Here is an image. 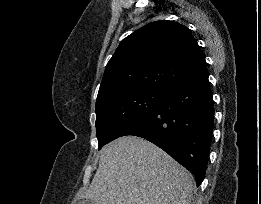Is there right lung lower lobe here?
Wrapping results in <instances>:
<instances>
[{
	"instance_id": "right-lung-lower-lobe-1",
	"label": "right lung lower lobe",
	"mask_w": 261,
	"mask_h": 204,
	"mask_svg": "<svg viewBox=\"0 0 261 204\" xmlns=\"http://www.w3.org/2000/svg\"><path fill=\"white\" fill-rule=\"evenodd\" d=\"M213 120V96L204 63L169 87L159 103L121 136L135 135L154 143L192 172L199 185L207 168Z\"/></svg>"
}]
</instances>
